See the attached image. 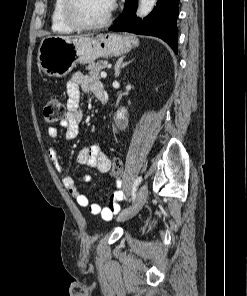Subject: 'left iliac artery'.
I'll list each match as a JSON object with an SVG mask.
<instances>
[{
    "instance_id": "44dca946",
    "label": "left iliac artery",
    "mask_w": 247,
    "mask_h": 296,
    "mask_svg": "<svg viewBox=\"0 0 247 296\" xmlns=\"http://www.w3.org/2000/svg\"><path fill=\"white\" fill-rule=\"evenodd\" d=\"M141 181H142V177L140 176L134 182V185H133V188H132V200L135 199V196H136L135 193H136L137 187L141 183Z\"/></svg>"
}]
</instances>
